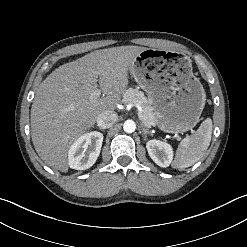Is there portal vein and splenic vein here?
<instances>
[{
  "mask_svg": "<svg viewBox=\"0 0 247 247\" xmlns=\"http://www.w3.org/2000/svg\"><path fill=\"white\" fill-rule=\"evenodd\" d=\"M100 95H101V90L97 89L93 93H91L90 98L91 99H97V98L100 97ZM140 110H141V108H140ZM139 118L142 120L141 111L139 112ZM145 125L148 126V127L151 126V125H147V124H145ZM176 137H178V136H176Z\"/></svg>",
  "mask_w": 247,
  "mask_h": 247,
  "instance_id": "obj_1",
  "label": "portal vein and splenic vein"
}]
</instances>
